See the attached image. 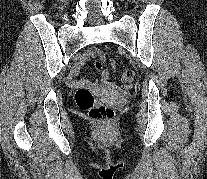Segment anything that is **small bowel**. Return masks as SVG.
I'll return each instance as SVG.
<instances>
[{
    "label": "small bowel",
    "instance_id": "1",
    "mask_svg": "<svg viewBox=\"0 0 207 179\" xmlns=\"http://www.w3.org/2000/svg\"><path fill=\"white\" fill-rule=\"evenodd\" d=\"M99 58V62L102 64V79L101 83H106L108 78L110 77L111 70L107 68V63L109 62V58L106 56L105 53L101 52L96 47H90L85 50V52L82 54L76 65L71 71L70 78L68 81V84L71 87H89L92 89H95L99 86L98 82L95 81H89L86 79H77L76 76L80 72L81 68L86 65L87 61L91 58Z\"/></svg>",
    "mask_w": 207,
    "mask_h": 179
}]
</instances>
